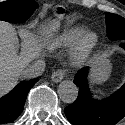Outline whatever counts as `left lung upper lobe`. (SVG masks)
Returning <instances> with one entry per match:
<instances>
[{"label":"left lung upper lobe","mask_w":125,"mask_h":125,"mask_svg":"<svg viewBox=\"0 0 125 125\" xmlns=\"http://www.w3.org/2000/svg\"><path fill=\"white\" fill-rule=\"evenodd\" d=\"M107 36L110 40L125 39V18L112 13L105 14Z\"/></svg>","instance_id":"obj_1"}]
</instances>
